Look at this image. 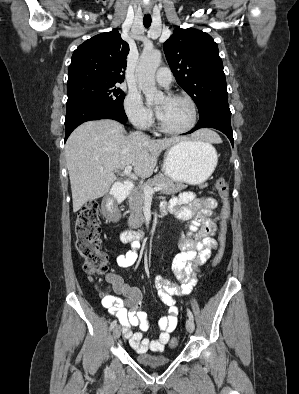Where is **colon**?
I'll use <instances>...</instances> for the list:
<instances>
[{"mask_svg":"<svg viewBox=\"0 0 299 394\" xmlns=\"http://www.w3.org/2000/svg\"><path fill=\"white\" fill-rule=\"evenodd\" d=\"M221 199L219 246L213 260L214 265H218L223 258L226 244V221L230 215L229 186L224 178H218L216 182ZM99 204L97 200L88 201L79 211L75 221L76 249L83 259V270L92 276L104 277L108 273V258L104 251L100 249V225H99ZM111 285L115 284V279L108 276ZM172 347L177 345V340L170 343Z\"/></svg>","mask_w":299,"mask_h":394,"instance_id":"colon-1","label":"colon"}]
</instances>
